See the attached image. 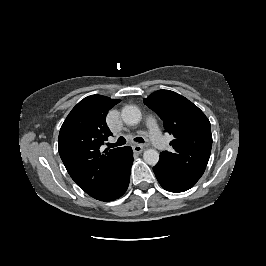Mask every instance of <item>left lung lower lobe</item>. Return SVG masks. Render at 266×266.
<instances>
[{"instance_id": "left-lung-lower-lobe-1", "label": "left lung lower lobe", "mask_w": 266, "mask_h": 266, "mask_svg": "<svg viewBox=\"0 0 266 266\" xmlns=\"http://www.w3.org/2000/svg\"><path fill=\"white\" fill-rule=\"evenodd\" d=\"M153 171L160 185L170 192H184L193 187L201 176L182 175L166 167L162 162H158Z\"/></svg>"}]
</instances>
